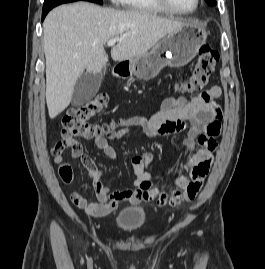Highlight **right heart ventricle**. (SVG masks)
I'll return each instance as SVG.
<instances>
[{
  "mask_svg": "<svg viewBox=\"0 0 265 269\" xmlns=\"http://www.w3.org/2000/svg\"><path fill=\"white\" fill-rule=\"evenodd\" d=\"M122 6L127 9L160 13L165 12L154 0H121Z\"/></svg>",
  "mask_w": 265,
  "mask_h": 269,
  "instance_id": "right-heart-ventricle-1",
  "label": "right heart ventricle"
}]
</instances>
